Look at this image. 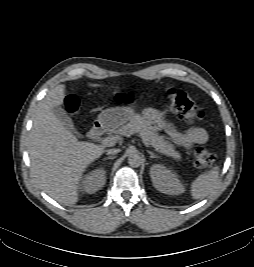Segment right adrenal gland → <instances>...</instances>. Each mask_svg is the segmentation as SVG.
Listing matches in <instances>:
<instances>
[{
    "label": "right adrenal gland",
    "mask_w": 254,
    "mask_h": 267,
    "mask_svg": "<svg viewBox=\"0 0 254 267\" xmlns=\"http://www.w3.org/2000/svg\"><path fill=\"white\" fill-rule=\"evenodd\" d=\"M107 159H115V156H108V157H105L104 160H107Z\"/></svg>",
    "instance_id": "obj_1"
}]
</instances>
